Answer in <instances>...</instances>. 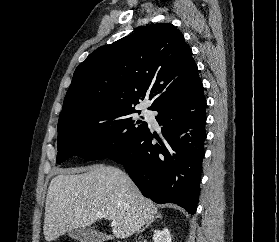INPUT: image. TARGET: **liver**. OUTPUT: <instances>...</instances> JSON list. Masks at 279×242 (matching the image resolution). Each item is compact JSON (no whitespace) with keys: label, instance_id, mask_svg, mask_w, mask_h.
I'll list each match as a JSON object with an SVG mask.
<instances>
[{"label":"liver","instance_id":"obj_1","mask_svg":"<svg viewBox=\"0 0 279 242\" xmlns=\"http://www.w3.org/2000/svg\"><path fill=\"white\" fill-rule=\"evenodd\" d=\"M130 177L113 166L60 170L49 185L44 218V237L52 241L73 229L86 228L104 219L116 221L112 233L125 239L157 214Z\"/></svg>","mask_w":279,"mask_h":242}]
</instances>
